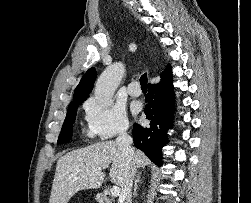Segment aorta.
Returning a JSON list of instances; mask_svg holds the SVG:
<instances>
[{
	"instance_id": "obj_1",
	"label": "aorta",
	"mask_w": 251,
	"mask_h": 203,
	"mask_svg": "<svg viewBox=\"0 0 251 203\" xmlns=\"http://www.w3.org/2000/svg\"><path fill=\"white\" fill-rule=\"evenodd\" d=\"M125 74V66L121 62L109 65L98 78L95 85V99L102 106H110L114 93Z\"/></svg>"
}]
</instances>
